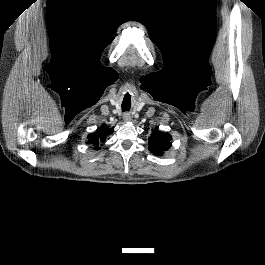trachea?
<instances>
[{
	"label": "trachea",
	"instance_id": "1",
	"mask_svg": "<svg viewBox=\"0 0 265 265\" xmlns=\"http://www.w3.org/2000/svg\"><path fill=\"white\" fill-rule=\"evenodd\" d=\"M122 110H123V112L124 111H129V107L122 106Z\"/></svg>",
	"mask_w": 265,
	"mask_h": 265
}]
</instances>
